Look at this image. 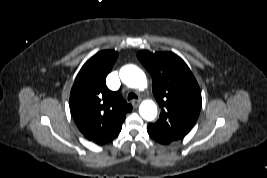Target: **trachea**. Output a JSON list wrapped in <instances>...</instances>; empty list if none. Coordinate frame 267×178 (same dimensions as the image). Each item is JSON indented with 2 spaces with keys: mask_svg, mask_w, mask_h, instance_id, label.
Instances as JSON below:
<instances>
[{
  "mask_svg": "<svg viewBox=\"0 0 267 178\" xmlns=\"http://www.w3.org/2000/svg\"><path fill=\"white\" fill-rule=\"evenodd\" d=\"M137 95L135 93H129L127 96L128 101L132 100V99H137Z\"/></svg>",
  "mask_w": 267,
  "mask_h": 178,
  "instance_id": "1",
  "label": "trachea"
}]
</instances>
